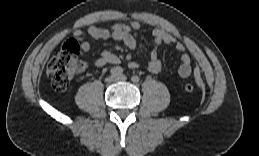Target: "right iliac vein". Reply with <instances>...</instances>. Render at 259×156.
<instances>
[{"label":"right iliac vein","instance_id":"obj_1","mask_svg":"<svg viewBox=\"0 0 259 156\" xmlns=\"http://www.w3.org/2000/svg\"><path fill=\"white\" fill-rule=\"evenodd\" d=\"M114 81H116V76H109L106 78L107 83H112Z\"/></svg>","mask_w":259,"mask_h":156}]
</instances>
